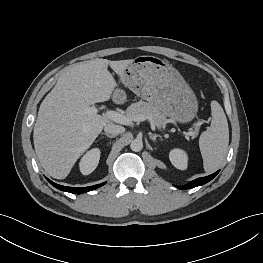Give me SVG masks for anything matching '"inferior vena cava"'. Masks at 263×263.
I'll return each mask as SVG.
<instances>
[{
	"label": "inferior vena cava",
	"instance_id": "602c4592",
	"mask_svg": "<svg viewBox=\"0 0 263 263\" xmlns=\"http://www.w3.org/2000/svg\"><path fill=\"white\" fill-rule=\"evenodd\" d=\"M104 131L107 134L117 136L118 134L124 132V127H122L120 125L113 124V123H109L104 127Z\"/></svg>",
	"mask_w": 263,
	"mask_h": 263
}]
</instances>
